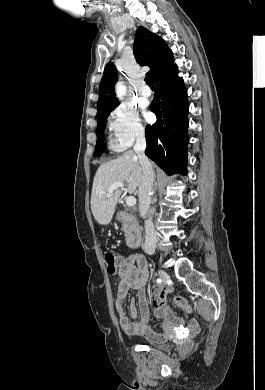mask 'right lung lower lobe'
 <instances>
[{
	"mask_svg": "<svg viewBox=\"0 0 265 390\" xmlns=\"http://www.w3.org/2000/svg\"><path fill=\"white\" fill-rule=\"evenodd\" d=\"M156 92L150 110L157 122L146 126L145 154L168 175H186L188 142V100L183 79L176 65L162 72L155 80Z\"/></svg>",
	"mask_w": 265,
	"mask_h": 390,
	"instance_id": "98d812e1",
	"label": "right lung lower lobe"
}]
</instances>
